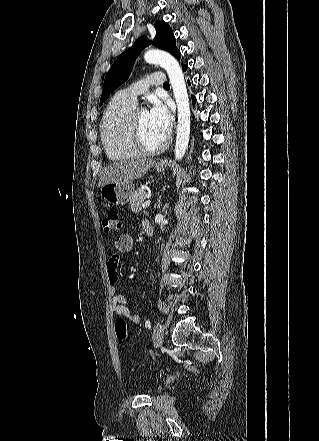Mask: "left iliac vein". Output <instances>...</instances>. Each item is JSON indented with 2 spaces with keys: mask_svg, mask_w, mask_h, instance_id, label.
<instances>
[{
  "mask_svg": "<svg viewBox=\"0 0 319 441\" xmlns=\"http://www.w3.org/2000/svg\"><path fill=\"white\" fill-rule=\"evenodd\" d=\"M153 343L156 347H159L163 343L164 327L160 323H156L152 333Z\"/></svg>",
  "mask_w": 319,
  "mask_h": 441,
  "instance_id": "left-iliac-vein-1",
  "label": "left iliac vein"
}]
</instances>
